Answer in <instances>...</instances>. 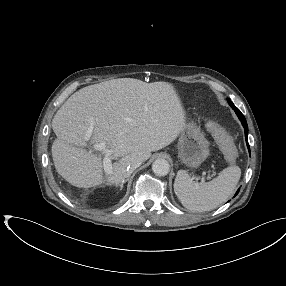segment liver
<instances>
[{"label": "liver", "instance_id": "liver-1", "mask_svg": "<svg viewBox=\"0 0 286 286\" xmlns=\"http://www.w3.org/2000/svg\"><path fill=\"white\" fill-rule=\"evenodd\" d=\"M186 123L181 100L168 82L145 83L119 78L86 86L71 95L55 114L57 136L51 152L55 169L71 185H101V158L84 148L88 141L106 143L112 157L107 182L119 185L132 159L146 161L152 151L171 144ZM92 128L90 138L87 131Z\"/></svg>", "mask_w": 286, "mask_h": 286}]
</instances>
